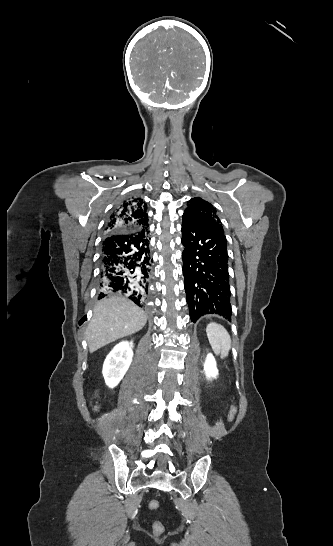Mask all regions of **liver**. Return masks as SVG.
<instances>
[{
	"label": "liver",
	"mask_w": 333,
	"mask_h": 546,
	"mask_svg": "<svg viewBox=\"0 0 333 546\" xmlns=\"http://www.w3.org/2000/svg\"><path fill=\"white\" fill-rule=\"evenodd\" d=\"M146 322L145 312L128 299L118 296L101 299L85 333L90 353L140 331Z\"/></svg>",
	"instance_id": "6515ba94"
}]
</instances>
